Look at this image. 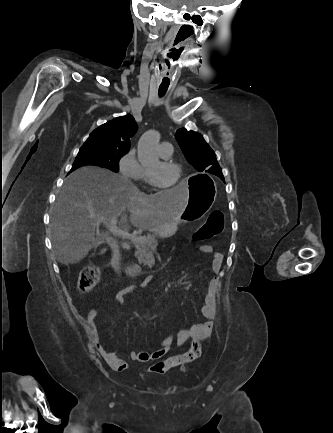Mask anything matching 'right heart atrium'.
<instances>
[{
    "label": "right heart atrium",
    "mask_w": 333,
    "mask_h": 433,
    "mask_svg": "<svg viewBox=\"0 0 333 433\" xmlns=\"http://www.w3.org/2000/svg\"><path fill=\"white\" fill-rule=\"evenodd\" d=\"M118 168L124 177L133 180L142 179L145 174V170L139 163L134 149H129L121 156L118 162Z\"/></svg>",
    "instance_id": "right-heart-atrium-1"
}]
</instances>
